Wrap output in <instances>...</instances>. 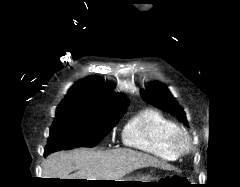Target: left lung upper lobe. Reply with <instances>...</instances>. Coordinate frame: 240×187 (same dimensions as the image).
<instances>
[{"mask_svg": "<svg viewBox=\"0 0 240 187\" xmlns=\"http://www.w3.org/2000/svg\"><path fill=\"white\" fill-rule=\"evenodd\" d=\"M141 97L147 103L159 107L165 112L176 115L180 121L188 126L185 112L163 84L158 82L151 84L146 91L141 92Z\"/></svg>", "mask_w": 240, "mask_h": 187, "instance_id": "1", "label": "left lung upper lobe"}]
</instances>
